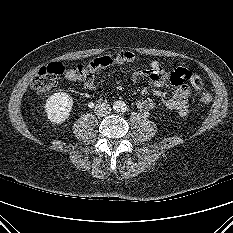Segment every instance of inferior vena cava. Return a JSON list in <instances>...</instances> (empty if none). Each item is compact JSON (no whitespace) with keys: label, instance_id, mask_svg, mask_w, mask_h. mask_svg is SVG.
Returning a JSON list of instances; mask_svg holds the SVG:
<instances>
[{"label":"inferior vena cava","instance_id":"1","mask_svg":"<svg viewBox=\"0 0 233 233\" xmlns=\"http://www.w3.org/2000/svg\"><path fill=\"white\" fill-rule=\"evenodd\" d=\"M110 111H111V107L106 102L99 103L95 106V113L98 116L101 117L106 116L110 113Z\"/></svg>","mask_w":233,"mask_h":233}]
</instances>
